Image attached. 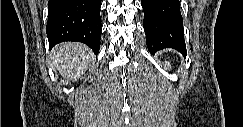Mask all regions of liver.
Wrapping results in <instances>:
<instances>
[{
	"mask_svg": "<svg viewBox=\"0 0 243 127\" xmlns=\"http://www.w3.org/2000/svg\"><path fill=\"white\" fill-rule=\"evenodd\" d=\"M52 54L54 66L68 80L80 79L93 58L90 48L77 42L61 43L54 48Z\"/></svg>",
	"mask_w": 243,
	"mask_h": 127,
	"instance_id": "1",
	"label": "liver"
}]
</instances>
